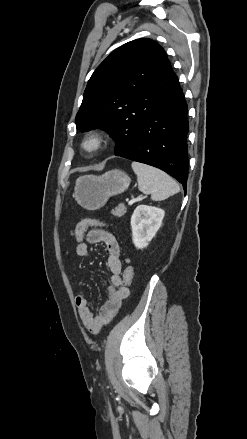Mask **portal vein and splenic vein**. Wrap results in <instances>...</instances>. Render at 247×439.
Segmentation results:
<instances>
[{
    "mask_svg": "<svg viewBox=\"0 0 247 439\" xmlns=\"http://www.w3.org/2000/svg\"><path fill=\"white\" fill-rule=\"evenodd\" d=\"M142 199H143V197H137V198H134V199L128 201V204H129V205H132L134 202H136V201H140V200H142Z\"/></svg>",
    "mask_w": 247,
    "mask_h": 439,
    "instance_id": "obj_1",
    "label": "portal vein and splenic vein"
}]
</instances>
